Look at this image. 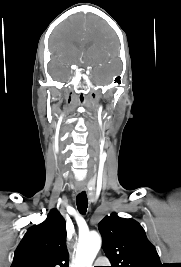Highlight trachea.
<instances>
[{
  "label": "trachea",
  "instance_id": "3493384b",
  "mask_svg": "<svg viewBox=\"0 0 181 267\" xmlns=\"http://www.w3.org/2000/svg\"><path fill=\"white\" fill-rule=\"evenodd\" d=\"M76 204H77L78 211L81 214H85L87 211V207H88V199H87V195L85 192H81L80 194L77 195Z\"/></svg>",
  "mask_w": 181,
  "mask_h": 267
}]
</instances>
